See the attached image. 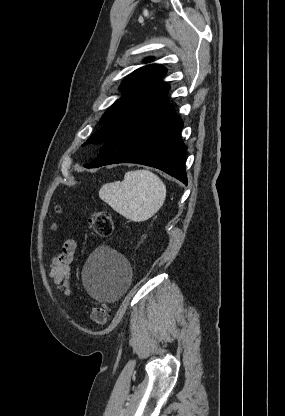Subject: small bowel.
Returning a JSON list of instances; mask_svg holds the SVG:
<instances>
[{"instance_id":"c3829d8e","label":"small bowel","mask_w":285,"mask_h":416,"mask_svg":"<svg viewBox=\"0 0 285 416\" xmlns=\"http://www.w3.org/2000/svg\"><path fill=\"white\" fill-rule=\"evenodd\" d=\"M77 243L74 239L67 240L58 255L52 258L49 264V276L60 291L67 297L71 294L70 264L73 261Z\"/></svg>"}]
</instances>
